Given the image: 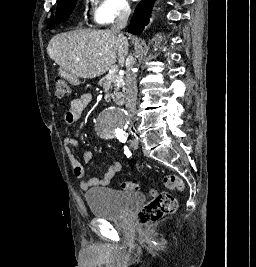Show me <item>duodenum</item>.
<instances>
[{
  "mask_svg": "<svg viewBox=\"0 0 256 267\" xmlns=\"http://www.w3.org/2000/svg\"><path fill=\"white\" fill-rule=\"evenodd\" d=\"M60 75L61 79H67V82H71L72 86H81L80 77H76L75 74H70V70H64V67H61ZM116 103L119 104L120 107L125 106L124 99H117Z\"/></svg>",
  "mask_w": 256,
  "mask_h": 267,
  "instance_id": "duodenum-1",
  "label": "duodenum"
}]
</instances>
